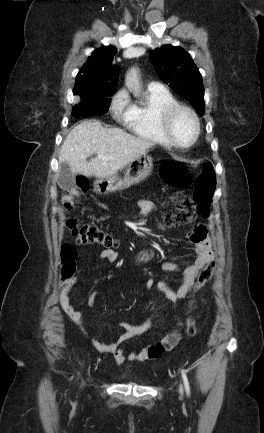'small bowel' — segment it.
Returning <instances> with one entry per match:
<instances>
[{
    "label": "small bowel",
    "mask_w": 264,
    "mask_h": 433,
    "mask_svg": "<svg viewBox=\"0 0 264 433\" xmlns=\"http://www.w3.org/2000/svg\"><path fill=\"white\" fill-rule=\"evenodd\" d=\"M140 210L143 214H148L156 205L154 202L149 200H143L139 202ZM189 240L194 245L195 259L191 265H188L183 269L182 282L176 291L170 289L164 281H154L151 278H146L145 285L148 289L156 287L159 291L164 293L167 299H169L175 306L176 302L183 299L190 292L195 278L200 270L212 259V250L210 240L207 236V230L205 226L198 224L195 225L188 234ZM100 259L102 261H116L118 254L113 248H105L101 254ZM164 269L170 271L178 270V267L172 263H164ZM80 281L79 277H75L69 280L59 295V301L65 314L70 320L79 328L81 333L86 336L84 329L85 318L82 311L78 310L71 302L70 291ZM95 293L90 295V302L93 303ZM121 299L124 296L121 295ZM181 326V323L177 324ZM154 326L153 318H149L139 325H132L126 322L118 324V328L122 331V334L114 342L103 343L96 340H90L91 344L100 352L112 354L117 363L122 364L126 360L132 362H143L146 360H155L160 358L165 352L172 350L180 341L181 333L178 329L173 330L167 334L164 338L157 341L154 344L148 345L138 352H126L121 349V345L126 341L141 336L149 332Z\"/></svg>",
    "instance_id": "small-bowel-1"
}]
</instances>
